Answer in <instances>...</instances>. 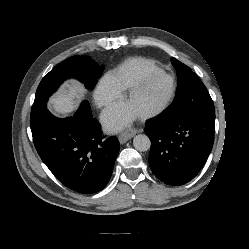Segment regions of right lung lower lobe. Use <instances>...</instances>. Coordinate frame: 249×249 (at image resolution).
<instances>
[{"label": "right lung lower lobe", "mask_w": 249, "mask_h": 249, "mask_svg": "<svg viewBox=\"0 0 249 249\" xmlns=\"http://www.w3.org/2000/svg\"><path fill=\"white\" fill-rule=\"evenodd\" d=\"M30 124L39 156L65 186L91 194L107 185L119 141L115 136L102 140L100 124L92 118L88 101L71 117L56 118L46 109Z\"/></svg>", "instance_id": "obj_1"}]
</instances>
